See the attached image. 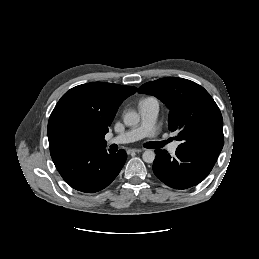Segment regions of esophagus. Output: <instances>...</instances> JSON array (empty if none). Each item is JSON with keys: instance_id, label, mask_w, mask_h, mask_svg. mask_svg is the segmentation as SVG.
<instances>
[{"instance_id": "34e87169", "label": "esophagus", "mask_w": 259, "mask_h": 259, "mask_svg": "<svg viewBox=\"0 0 259 259\" xmlns=\"http://www.w3.org/2000/svg\"><path fill=\"white\" fill-rule=\"evenodd\" d=\"M140 152H142L141 149H129V150H128V153H129V154H132V153H140Z\"/></svg>"}]
</instances>
